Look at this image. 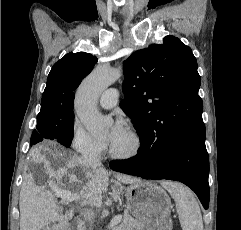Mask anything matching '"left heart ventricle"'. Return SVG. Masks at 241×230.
Instances as JSON below:
<instances>
[{
	"instance_id": "b2bd125f",
	"label": "left heart ventricle",
	"mask_w": 241,
	"mask_h": 230,
	"mask_svg": "<svg viewBox=\"0 0 241 230\" xmlns=\"http://www.w3.org/2000/svg\"><path fill=\"white\" fill-rule=\"evenodd\" d=\"M109 134L105 136V139H108ZM133 146L132 138L129 134V132L126 130V132L122 135V137L112 146L110 147L112 151L116 153H126L131 150Z\"/></svg>"
}]
</instances>
